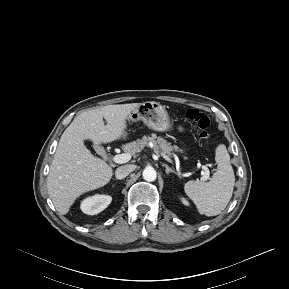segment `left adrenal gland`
<instances>
[{"label":"left adrenal gland","instance_id":"obj_1","mask_svg":"<svg viewBox=\"0 0 289 289\" xmlns=\"http://www.w3.org/2000/svg\"><path fill=\"white\" fill-rule=\"evenodd\" d=\"M163 167L166 168V173L169 174V173H174L176 175H178L173 169H171L167 164H162Z\"/></svg>","mask_w":289,"mask_h":289}]
</instances>
